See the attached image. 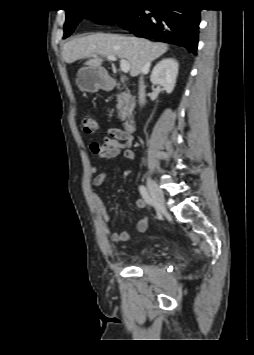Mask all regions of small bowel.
<instances>
[{
  "label": "small bowel",
  "mask_w": 254,
  "mask_h": 355,
  "mask_svg": "<svg viewBox=\"0 0 254 355\" xmlns=\"http://www.w3.org/2000/svg\"><path fill=\"white\" fill-rule=\"evenodd\" d=\"M133 137L119 128H110L107 134L104 136L102 142H91L90 150L99 160H112L119 157L121 154L126 159L132 160L135 154L132 150ZM92 173L96 174L93 179L95 187H101L106 179L105 172H99V166L94 165L91 168ZM92 200L95 203L98 212L105 221L110 220V215L107 212L106 206L97 193H92ZM136 206L138 208H144L146 206L145 200L138 198L136 200ZM148 227V219L142 218L137 223V228L140 232H144ZM130 239V234L127 231H119L112 234V240L114 242H126Z\"/></svg>",
  "instance_id": "c3829d8e"
}]
</instances>
